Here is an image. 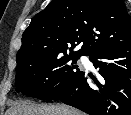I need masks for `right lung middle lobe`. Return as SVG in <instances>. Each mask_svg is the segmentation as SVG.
I'll return each mask as SVG.
<instances>
[{
  "label": "right lung middle lobe",
  "mask_w": 131,
  "mask_h": 115,
  "mask_svg": "<svg viewBox=\"0 0 131 115\" xmlns=\"http://www.w3.org/2000/svg\"><path fill=\"white\" fill-rule=\"evenodd\" d=\"M79 58L73 53H56L24 65L16 70V91L40 100H56L82 73L75 65Z\"/></svg>",
  "instance_id": "obj_1"
}]
</instances>
